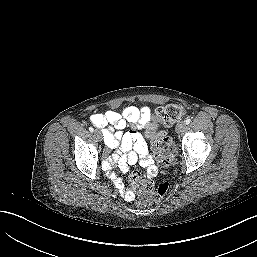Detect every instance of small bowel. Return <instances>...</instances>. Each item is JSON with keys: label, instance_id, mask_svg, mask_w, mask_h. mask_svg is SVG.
<instances>
[{"label": "small bowel", "instance_id": "obj_1", "mask_svg": "<svg viewBox=\"0 0 257 257\" xmlns=\"http://www.w3.org/2000/svg\"><path fill=\"white\" fill-rule=\"evenodd\" d=\"M150 119L151 111L146 106H127L121 112L108 110L90 116V122L101 129L106 145L117 150L104 161L103 168L126 200H132L134 195L124 186L114 169L126 174L130 166L138 164L147 170L148 177L156 174L154 158L146 143L150 132L145 128ZM141 129L144 131L139 132Z\"/></svg>", "mask_w": 257, "mask_h": 257}]
</instances>
